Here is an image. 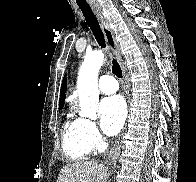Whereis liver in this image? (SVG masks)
Returning a JSON list of instances; mask_svg holds the SVG:
<instances>
[{"instance_id":"obj_1","label":"liver","mask_w":196,"mask_h":182,"mask_svg":"<svg viewBox=\"0 0 196 182\" xmlns=\"http://www.w3.org/2000/svg\"><path fill=\"white\" fill-rule=\"evenodd\" d=\"M108 167L97 161L67 164L59 173L57 182H106Z\"/></svg>"}]
</instances>
